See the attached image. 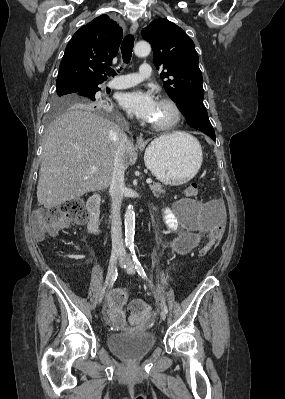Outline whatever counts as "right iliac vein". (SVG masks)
<instances>
[{"mask_svg": "<svg viewBox=\"0 0 285 399\" xmlns=\"http://www.w3.org/2000/svg\"><path fill=\"white\" fill-rule=\"evenodd\" d=\"M118 255H119V253L114 252L110 258L108 272H107V276H106V283H105L104 288L97 295V299H96L97 304H100L104 299L106 288L111 280V277L113 276L114 267L116 265Z\"/></svg>", "mask_w": 285, "mask_h": 399, "instance_id": "obj_1", "label": "right iliac vein"}]
</instances>
